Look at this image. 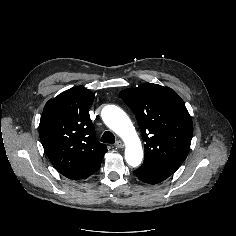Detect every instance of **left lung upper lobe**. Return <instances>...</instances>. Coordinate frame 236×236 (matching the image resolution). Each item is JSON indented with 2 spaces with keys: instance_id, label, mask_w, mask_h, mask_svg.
I'll list each match as a JSON object with an SVG mask.
<instances>
[{
  "instance_id": "obj_1",
  "label": "left lung upper lobe",
  "mask_w": 236,
  "mask_h": 236,
  "mask_svg": "<svg viewBox=\"0 0 236 236\" xmlns=\"http://www.w3.org/2000/svg\"><path fill=\"white\" fill-rule=\"evenodd\" d=\"M135 114L144 146V163L172 175L186 159L193 136L192 119L179 95L168 87L144 83L120 92Z\"/></svg>"
}]
</instances>
